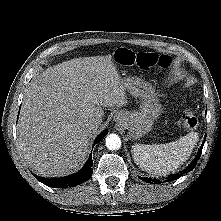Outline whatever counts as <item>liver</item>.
Returning a JSON list of instances; mask_svg holds the SVG:
<instances>
[{
    "label": "liver",
    "mask_w": 221,
    "mask_h": 221,
    "mask_svg": "<svg viewBox=\"0 0 221 221\" xmlns=\"http://www.w3.org/2000/svg\"><path fill=\"white\" fill-rule=\"evenodd\" d=\"M128 103L111 56L76 58L47 68L26 90L17 124L18 148L43 177L71 174L85 162L102 107Z\"/></svg>",
    "instance_id": "1"
}]
</instances>
